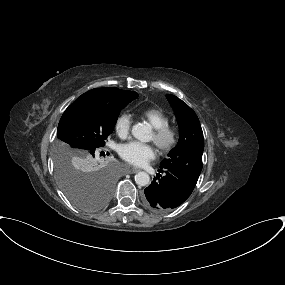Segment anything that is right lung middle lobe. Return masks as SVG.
<instances>
[{"label": "right lung middle lobe", "mask_w": 285, "mask_h": 285, "mask_svg": "<svg viewBox=\"0 0 285 285\" xmlns=\"http://www.w3.org/2000/svg\"><path fill=\"white\" fill-rule=\"evenodd\" d=\"M138 97L134 91L76 99L63 113L55 146L58 184L77 207L96 211L110 200L114 175L95 156L113 132L120 111Z\"/></svg>", "instance_id": "1"}]
</instances>
